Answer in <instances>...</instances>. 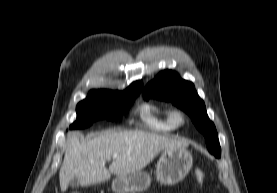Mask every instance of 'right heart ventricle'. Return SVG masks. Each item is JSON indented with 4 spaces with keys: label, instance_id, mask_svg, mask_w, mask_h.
Wrapping results in <instances>:
<instances>
[{
    "label": "right heart ventricle",
    "instance_id": "1",
    "mask_svg": "<svg viewBox=\"0 0 277 193\" xmlns=\"http://www.w3.org/2000/svg\"><path fill=\"white\" fill-rule=\"evenodd\" d=\"M170 111L169 108L156 103H144L138 108V116L146 130L169 133L177 128L170 119Z\"/></svg>",
    "mask_w": 277,
    "mask_h": 193
}]
</instances>
